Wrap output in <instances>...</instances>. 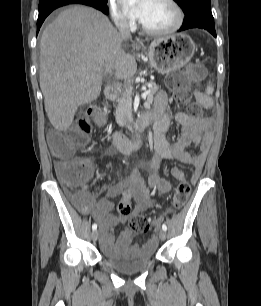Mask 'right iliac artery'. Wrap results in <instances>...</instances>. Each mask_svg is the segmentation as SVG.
I'll return each mask as SVG.
<instances>
[{
	"label": "right iliac artery",
	"instance_id": "82829eb1",
	"mask_svg": "<svg viewBox=\"0 0 261 306\" xmlns=\"http://www.w3.org/2000/svg\"><path fill=\"white\" fill-rule=\"evenodd\" d=\"M97 229V224H93L92 225V230H96Z\"/></svg>",
	"mask_w": 261,
	"mask_h": 306
}]
</instances>
